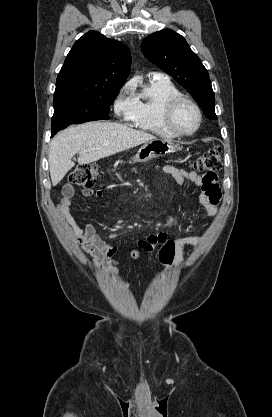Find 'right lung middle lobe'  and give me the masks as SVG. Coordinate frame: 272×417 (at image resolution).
Wrapping results in <instances>:
<instances>
[{
	"label": "right lung middle lobe",
	"instance_id": "right-lung-middle-lobe-1",
	"mask_svg": "<svg viewBox=\"0 0 272 417\" xmlns=\"http://www.w3.org/2000/svg\"><path fill=\"white\" fill-rule=\"evenodd\" d=\"M120 88L99 92L54 96L52 136L74 123L108 120L109 108Z\"/></svg>",
	"mask_w": 272,
	"mask_h": 417
}]
</instances>
